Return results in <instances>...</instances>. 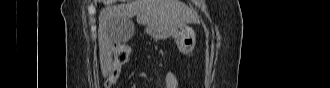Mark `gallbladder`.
I'll list each match as a JSON object with an SVG mask.
<instances>
[{
    "mask_svg": "<svg viewBox=\"0 0 330 88\" xmlns=\"http://www.w3.org/2000/svg\"><path fill=\"white\" fill-rule=\"evenodd\" d=\"M114 30L115 33L118 36V42L117 43H124L129 41L133 34H134V24L133 22L130 20H126L125 22H119V23H115L114 25Z\"/></svg>",
    "mask_w": 330,
    "mask_h": 88,
    "instance_id": "obj_1",
    "label": "gallbladder"
}]
</instances>
